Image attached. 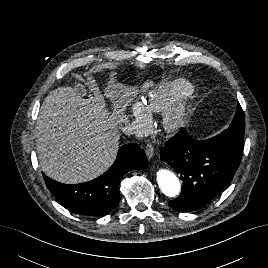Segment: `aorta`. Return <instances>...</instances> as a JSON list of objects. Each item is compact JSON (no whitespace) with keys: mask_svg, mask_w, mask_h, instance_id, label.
<instances>
[{"mask_svg":"<svg viewBox=\"0 0 268 268\" xmlns=\"http://www.w3.org/2000/svg\"><path fill=\"white\" fill-rule=\"evenodd\" d=\"M157 183L162 193L168 197H175L180 193V181L177 176L168 169L158 170Z\"/></svg>","mask_w":268,"mask_h":268,"instance_id":"aorta-1","label":"aorta"}]
</instances>
